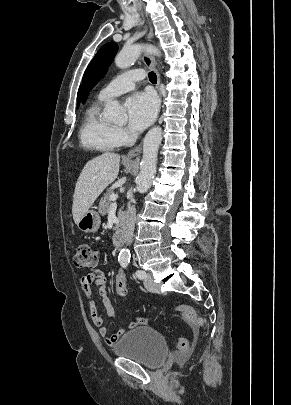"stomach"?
I'll use <instances>...</instances> for the list:
<instances>
[{
    "label": "stomach",
    "instance_id": "0dacf381",
    "mask_svg": "<svg viewBox=\"0 0 291 405\" xmlns=\"http://www.w3.org/2000/svg\"><path fill=\"white\" fill-rule=\"evenodd\" d=\"M101 224V219L95 210H88L78 221V228L86 233L95 232L99 229Z\"/></svg>",
    "mask_w": 291,
    "mask_h": 405
}]
</instances>
